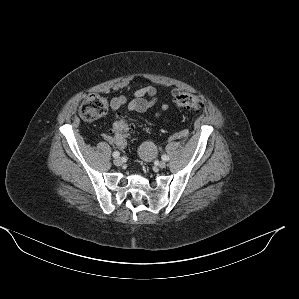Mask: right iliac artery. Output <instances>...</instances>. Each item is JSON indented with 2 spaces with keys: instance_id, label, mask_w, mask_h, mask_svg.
<instances>
[{
  "instance_id": "82829eb1",
  "label": "right iliac artery",
  "mask_w": 299,
  "mask_h": 299,
  "mask_svg": "<svg viewBox=\"0 0 299 299\" xmlns=\"http://www.w3.org/2000/svg\"><path fill=\"white\" fill-rule=\"evenodd\" d=\"M113 157H119L120 153L118 151L113 152Z\"/></svg>"
}]
</instances>
